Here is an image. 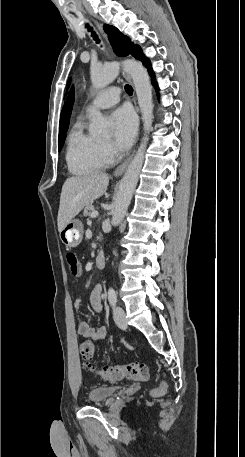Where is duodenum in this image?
I'll return each instance as SVG.
<instances>
[{"label":"duodenum","instance_id":"obj_1","mask_svg":"<svg viewBox=\"0 0 245 457\" xmlns=\"http://www.w3.org/2000/svg\"><path fill=\"white\" fill-rule=\"evenodd\" d=\"M95 265L97 268H103L105 266V255L100 252L95 258Z\"/></svg>","mask_w":245,"mask_h":457}]
</instances>
